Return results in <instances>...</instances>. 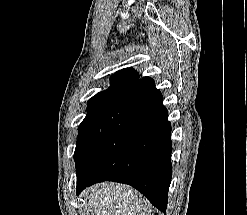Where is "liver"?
<instances>
[{
    "instance_id": "6515ba94",
    "label": "liver",
    "mask_w": 247,
    "mask_h": 215,
    "mask_svg": "<svg viewBox=\"0 0 247 215\" xmlns=\"http://www.w3.org/2000/svg\"><path fill=\"white\" fill-rule=\"evenodd\" d=\"M93 215H151V206L130 187L110 182L96 184L83 193Z\"/></svg>"
}]
</instances>
